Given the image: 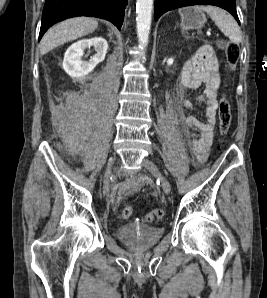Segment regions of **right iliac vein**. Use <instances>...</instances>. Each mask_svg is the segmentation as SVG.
<instances>
[{"mask_svg": "<svg viewBox=\"0 0 267 298\" xmlns=\"http://www.w3.org/2000/svg\"><path fill=\"white\" fill-rule=\"evenodd\" d=\"M114 160H115V157L111 158L108 162V166L106 168V171H105V175H104V186H108L109 184V177H110V174H111V169H112V165L114 163Z\"/></svg>", "mask_w": 267, "mask_h": 298, "instance_id": "1", "label": "right iliac vein"}]
</instances>
